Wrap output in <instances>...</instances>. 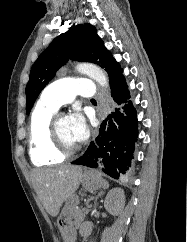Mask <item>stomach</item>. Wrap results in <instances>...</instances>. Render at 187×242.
I'll use <instances>...</instances> for the list:
<instances>
[{"label": "stomach", "mask_w": 187, "mask_h": 242, "mask_svg": "<svg viewBox=\"0 0 187 242\" xmlns=\"http://www.w3.org/2000/svg\"><path fill=\"white\" fill-rule=\"evenodd\" d=\"M81 183L86 191H96L104 186V180L96 170H85L82 173ZM78 204L79 197L76 194L68 197L57 219V226L64 242H74L76 237V229L80 223L76 215Z\"/></svg>", "instance_id": "1"}]
</instances>
